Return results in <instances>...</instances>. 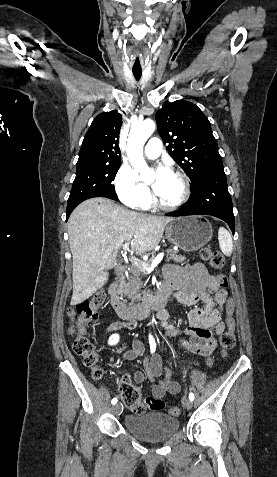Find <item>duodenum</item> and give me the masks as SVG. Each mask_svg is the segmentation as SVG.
Masks as SVG:
<instances>
[{"instance_id":"410a0bca","label":"duodenum","mask_w":277,"mask_h":477,"mask_svg":"<svg viewBox=\"0 0 277 477\" xmlns=\"http://www.w3.org/2000/svg\"><path fill=\"white\" fill-rule=\"evenodd\" d=\"M126 269L119 267L116 269V282L108 290L109 299L115 312L126 321H137L144 319L150 313L162 311L170 299V294L164 291L148 298L142 303L129 306L121 297V288L125 281Z\"/></svg>"}]
</instances>
